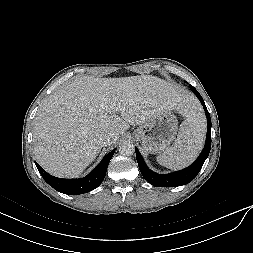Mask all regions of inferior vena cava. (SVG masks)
Masks as SVG:
<instances>
[{"instance_id":"obj_1","label":"inferior vena cava","mask_w":253,"mask_h":253,"mask_svg":"<svg viewBox=\"0 0 253 253\" xmlns=\"http://www.w3.org/2000/svg\"><path fill=\"white\" fill-rule=\"evenodd\" d=\"M100 143L104 146L108 145L112 140V135L110 133H102L99 137Z\"/></svg>"}]
</instances>
